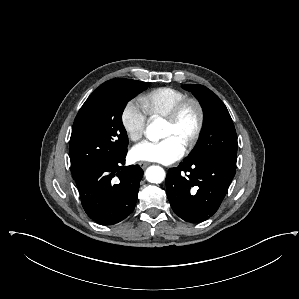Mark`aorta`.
<instances>
[{"instance_id": "1", "label": "aorta", "mask_w": 299, "mask_h": 299, "mask_svg": "<svg viewBox=\"0 0 299 299\" xmlns=\"http://www.w3.org/2000/svg\"><path fill=\"white\" fill-rule=\"evenodd\" d=\"M162 120L156 119L146 129L147 136L152 141H157L163 136L161 129ZM145 176L148 182L159 184L165 179V171L160 166H150L146 172Z\"/></svg>"}]
</instances>
